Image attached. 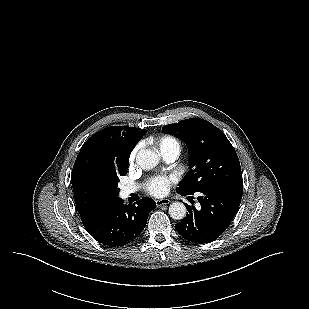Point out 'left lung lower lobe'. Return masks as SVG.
Returning <instances> with one entry per match:
<instances>
[{
	"label": "left lung lower lobe",
	"mask_w": 309,
	"mask_h": 309,
	"mask_svg": "<svg viewBox=\"0 0 309 309\" xmlns=\"http://www.w3.org/2000/svg\"><path fill=\"white\" fill-rule=\"evenodd\" d=\"M242 193L243 189L232 187L199 192L197 199L201 210L188 205V214L175 225L176 231L193 243L204 244L217 239L236 215Z\"/></svg>",
	"instance_id": "1"
}]
</instances>
